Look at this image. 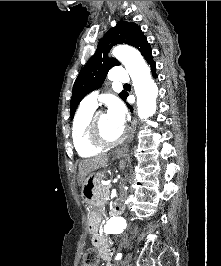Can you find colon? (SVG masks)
<instances>
[{
	"mask_svg": "<svg viewBox=\"0 0 221 266\" xmlns=\"http://www.w3.org/2000/svg\"><path fill=\"white\" fill-rule=\"evenodd\" d=\"M98 260L97 252L94 249H88L83 255L82 266H97Z\"/></svg>",
	"mask_w": 221,
	"mask_h": 266,
	"instance_id": "obj_1",
	"label": "colon"
}]
</instances>
